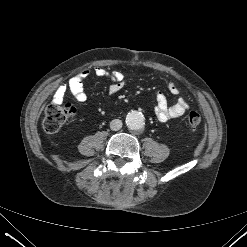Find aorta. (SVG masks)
Listing matches in <instances>:
<instances>
[{
    "label": "aorta",
    "instance_id": "obj_1",
    "mask_svg": "<svg viewBox=\"0 0 247 247\" xmlns=\"http://www.w3.org/2000/svg\"><path fill=\"white\" fill-rule=\"evenodd\" d=\"M126 124L130 129H141L144 126L143 114L136 110L130 111L126 116Z\"/></svg>",
    "mask_w": 247,
    "mask_h": 247
}]
</instances>
